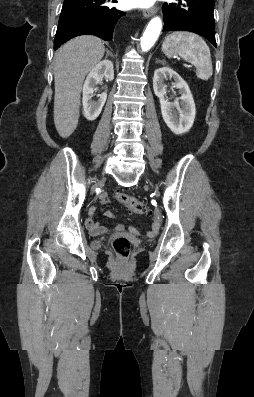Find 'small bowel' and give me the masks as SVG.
<instances>
[{
  "mask_svg": "<svg viewBox=\"0 0 254 397\" xmlns=\"http://www.w3.org/2000/svg\"><path fill=\"white\" fill-rule=\"evenodd\" d=\"M100 200H101V202H103V203H107V202H108V196L104 194V195H102V196L100 197ZM94 212H95V208L92 207V208L89 210V215H88V217H87V219H86V221H85L86 227H87L88 230H89L92 234H94V235L106 233V232H107V229H106L104 226H102L100 223L96 222V221L93 219V214H94ZM105 215H106L107 217H109V218H113V217H114V214H113L112 212H110V211H106V212H105ZM116 229H117L118 231H121V230L123 229V227H122L121 225H118ZM158 230H159V223H158V222H154V223H153V226H152V229L148 232V235H149L150 237H153V236H155V235L157 234Z\"/></svg>",
  "mask_w": 254,
  "mask_h": 397,
  "instance_id": "1",
  "label": "small bowel"
}]
</instances>
